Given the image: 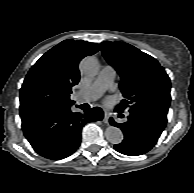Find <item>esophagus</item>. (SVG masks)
I'll list each match as a JSON object with an SVG mask.
<instances>
[{
  "mask_svg": "<svg viewBox=\"0 0 194 193\" xmlns=\"http://www.w3.org/2000/svg\"><path fill=\"white\" fill-rule=\"evenodd\" d=\"M103 122L104 123H109V114L107 112L104 113Z\"/></svg>",
  "mask_w": 194,
  "mask_h": 193,
  "instance_id": "1",
  "label": "esophagus"
}]
</instances>
